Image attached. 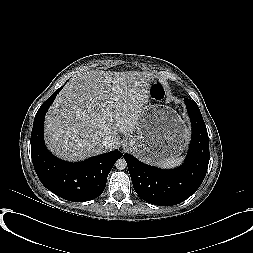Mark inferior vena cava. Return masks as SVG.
I'll return each instance as SVG.
<instances>
[{"label":"inferior vena cava","mask_w":253,"mask_h":253,"mask_svg":"<svg viewBox=\"0 0 253 253\" xmlns=\"http://www.w3.org/2000/svg\"><path fill=\"white\" fill-rule=\"evenodd\" d=\"M113 143V140L110 137L103 138L102 145L106 148L110 147Z\"/></svg>","instance_id":"obj_1"}]
</instances>
